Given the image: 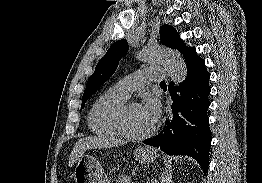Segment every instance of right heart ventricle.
Returning <instances> with one entry per match:
<instances>
[{"mask_svg":"<svg viewBox=\"0 0 262 183\" xmlns=\"http://www.w3.org/2000/svg\"><path fill=\"white\" fill-rule=\"evenodd\" d=\"M127 97L110 88L92 105L88 113V127L95 135L106 138L122 137L115 126V116Z\"/></svg>","mask_w":262,"mask_h":183,"instance_id":"1","label":"right heart ventricle"}]
</instances>
